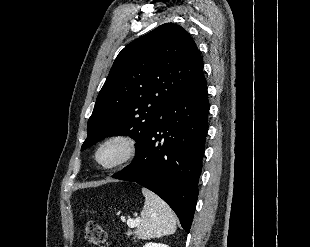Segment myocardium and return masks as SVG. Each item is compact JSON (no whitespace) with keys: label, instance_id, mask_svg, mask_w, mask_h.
<instances>
[{"label":"myocardium","instance_id":"myocardium-1","mask_svg":"<svg viewBox=\"0 0 310 247\" xmlns=\"http://www.w3.org/2000/svg\"><path fill=\"white\" fill-rule=\"evenodd\" d=\"M110 144H118L122 147V155L118 160L111 164H104L99 159V154L101 150ZM138 153V141L137 139L129 133H116L106 139H104L97 147L95 151V161L98 165L106 170H113L120 168L129 162H131Z\"/></svg>","mask_w":310,"mask_h":247}]
</instances>
